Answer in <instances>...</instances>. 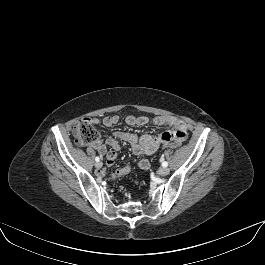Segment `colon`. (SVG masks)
Segmentation results:
<instances>
[{
	"mask_svg": "<svg viewBox=\"0 0 265 265\" xmlns=\"http://www.w3.org/2000/svg\"><path fill=\"white\" fill-rule=\"evenodd\" d=\"M73 135L75 142L78 145L85 146L94 144L99 141V133L92 126V123L88 119H81L75 123L73 127ZM180 145V142L175 139L166 140L162 145L164 148H177ZM131 172L129 167H123L116 170L111 176V180L118 179L125 175H128Z\"/></svg>",
	"mask_w": 265,
	"mask_h": 265,
	"instance_id": "colon-1",
	"label": "colon"
}]
</instances>
